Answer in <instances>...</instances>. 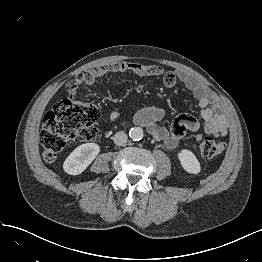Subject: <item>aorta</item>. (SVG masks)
Here are the masks:
<instances>
[{
	"mask_svg": "<svg viewBox=\"0 0 262 262\" xmlns=\"http://www.w3.org/2000/svg\"><path fill=\"white\" fill-rule=\"evenodd\" d=\"M129 136L130 138L133 140V141H139L143 138L144 136V133H143V130L142 128L140 127H134V128H131L130 131H129Z\"/></svg>",
	"mask_w": 262,
	"mask_h": 262,
	"instance_id": "1",
	"label": "aorta"
}]
</instances>
